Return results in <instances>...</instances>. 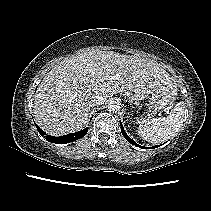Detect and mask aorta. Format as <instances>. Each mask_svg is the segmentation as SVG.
<instances>
[{
  "label": "aorta",
  "mask_w": 211,
  "mask_h": 211,
  "mask_svg": "<svg viewBox=\"0 0 211 211\" xmlns=\"http://www.w3.org/2000/svg\"><path fill=\"white\" fill-rule=\"evenodd\" d=\"M110 112L117 113L120 110V103L118 101H110L107 105Z\"/></svg>",
  "instance_id": "1"
}]
</instances>
